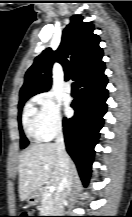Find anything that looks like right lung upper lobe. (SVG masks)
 Listing matches in <instances>:
<instances>
[{
	"mask_svg": "<svg viewBox=\"0 0 132 217\" xmlns=\"http://www.w3.org/2000/svg\"><path fill=\"white\" fill-rule=\"evenodd\" d=\"M93 31L92 23L83 22L82 16H72L63 31L59 48L56 51L47 48L35 58L33 65L27 70L20 89V99L50 89L54 62L63 66L65 80L73 79L78 86L105 77L100 39Z\"/></svg>",
	"mask_w": 132,
	"mask_h": 217,
	"instance_id": "right-lung-upper-lobe-1",
	"label": "right lung upper lobe"
}]
</instances>
